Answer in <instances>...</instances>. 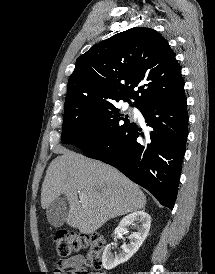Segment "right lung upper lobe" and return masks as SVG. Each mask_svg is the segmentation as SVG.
<instances>
[{"instance_id": "cb5924a9", "label": "right lung upper lobe", "mask_w": 215, "mask_h": 274, "mask_svg": "<svg viewBox=\"0 0 215 274\" xmlns=\"http://www.w3.org/2000/svg\"><path fill=\"white\" fill-rule=\"evenodd\" d=\"M182 94L181 68L167 40L154 29L136 27L95 44L77 59L65 104L125 98L140 108Z\"/></svg>"}]
</instances>
